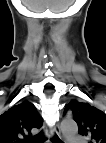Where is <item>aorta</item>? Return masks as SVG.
Masks as SVG:
<instances>
[{
    "label": "aorta",
    "mask_w": 106,
    "mask_h": 143,
    "mask_svg": "<svg viewBox=\"0 0 106 143\" xmlns=\"http://www.w3.org/2000/svg\"><path fill=\"white\" fill-rule=\"evenodd\" d=\"M60 129L66 139L73 138L78 132L76 122L70 118H66L61 122Z\"/></svg>",
    "instance_id": "aorta-1"
}]
</instances>
